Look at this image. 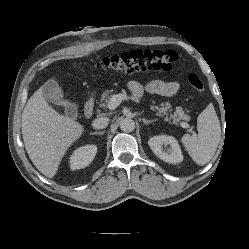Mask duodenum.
<instances>
[{
	"mask_svg": "<svg viewBox=\"0 0 249 249\" xmlns=\"http://www.w3.org/2000/svg\"><path fill=\"white\" fill-rule=\"evenodd\" d=\"M95 111V96L91 95L89 96V98L87 99L85 105H84V116L87 119H90Z\"/></svg>",
	"mask_w": 249,
	"mask_h": 249,
	"instance_id": "obj_1",
	"label": "duodenum"
}]
</instances>
